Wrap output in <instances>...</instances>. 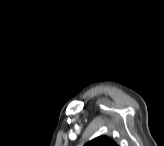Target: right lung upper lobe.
<instances>
[{"label":"right lung upper lobe","mask_w":164,"mask_h":146,"mask_svg":"<svg viewBox=\"0 0 164 146\" xmlns=\"http://www.w3.org/2000/svg\"><path fill=\"white\" fill-rule=\"evenodd\" d=\"M86 146H117V144L112 142L107 136H100L89 141Z\"/></svg>","instance_id":"1"}]
</instances>
